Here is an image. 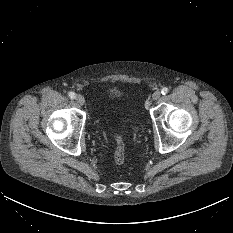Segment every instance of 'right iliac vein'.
Masks as SVG:
<instances>
[{
  "mask_svg": "<svg viewBox=\"0 0 233 233\" xmlns=\"http://www.w3.org/2000/svg\"><path fill=\"white\" fill-rule=\"evenodd\" d=\"M75 100L77 101V103H78L80 106H83L84 103H85L84 97H83L82 95H80V94L76 95Z\"/></svg>",
  "mask_w": 233,
  "mask_h": 233,
  "instance_id": "63e3f726",
  "label": "right iliac vein"
}]
</instances>
